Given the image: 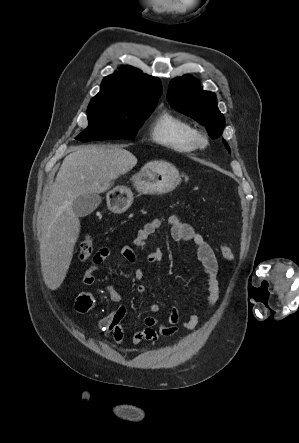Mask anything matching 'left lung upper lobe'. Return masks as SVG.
<instances>
[{
	"mask_svg": "<svg viewBox=\"0 0 299 443\" xmlns=\"http://www.w3.org/2000/svg\"><path fill=\"white\" fill-rule=\"evenodd\" d=\"M167 100L176 111L204 125L212 139L219 137L225 126L223 114L217 107L213 92L204 91L197 79L190 75L171 80ZM228 151V144L223 139Z\"/></svg>",
	"mask_w": 299,
	"mask_h": 443,
	"instance_id": "1",
	"label": "left lung upper lobe"
}]
</instances>
